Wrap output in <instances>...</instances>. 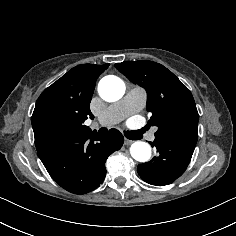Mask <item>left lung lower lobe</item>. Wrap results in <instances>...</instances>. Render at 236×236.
Here are the masks:
<instances>
[{
  "mask_svg": "<svg viewBox=\"0 0 236 236\" xmlns=\"http://www.w3.org/2000/svg\"><path fill=\"white\" fill-rule=\"evenodd\" d=\"M149 143L152 147H156L158 154L151 161L139 164L138 174L145 182L152 185L171 184L186 170L195 147L157 137Z\"/></svg>",
  "mask_w": 236,
  "mask_h": 236,
  "instance_id": "left-lung-lower-lobe-1",
  "label": "left lung lower lobe"
}]
</instances>
